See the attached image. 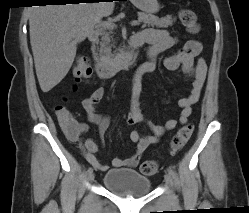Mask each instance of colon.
<instances>
[{
	"mask_svg": "<svg viewBox=\"0 0 249 213\" xmlns=\"http://www.w3.org/2000/svg\"><path fill=\"white\" fill-rule=\"evenodd\" d=\"M179 18L182 24L187 28L189 32H198L199 25L197 22V17L193 11L189 9H181L179 12ZM91 74L92 70L86 58L79 57L76 60L75 66L73 68V75L76 78V81L80 82L84 79H87L91 76ZM65 109L66 107L62 105H58L55 107V113L57 115V118H65L67 116ZM193 129V125L186 124L177 131L171 143L173 151L181 149L187 143L193 133ZM140 170L144 175H153L158 170V164L154 160H147L141 164Z\"/></svg>",
	"mask_w": 249,
	"mask_h": 213,
	"instance_id": "obj_1",
	"label": "colon"
}]
</instances>
